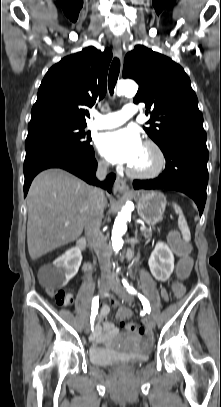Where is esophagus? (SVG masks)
Wrapping results in <instances>:
<instances>
[{"label":"esophagus","mask_w":221,"mask_h":407,"mask_svg":"<svg viewBox=\"0 0 221 407\" xmlns=\"http://www.w3.org/2000/svg\"><path fill=\"white\" fill-rule=\"evenodd\" d=\"M113 47H114L115 55L119 59H122V47H121V41L119 38H115L113 40ZM114 187L119 193H128L129 192V187L126 183V180L123 178L117 177L115 180Z\"/></svg>","instance_id":"esophagus-1"}]
</instances>
